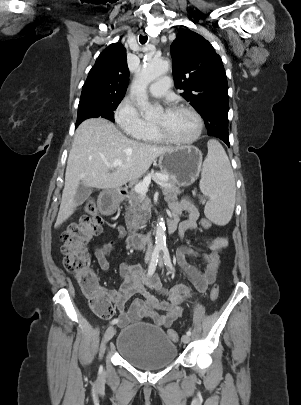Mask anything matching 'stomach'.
<instances>
[{"instance_id": "0dacf381", "label": "stomach", "mask_w": 301, "mask_h": 405, "mask_svg": "<svg viewBox=\"0 0 301 405\" xmlns=\"http://www.w3.org/2000/svg\"><path fill=\"white\" fill-rule=\"evenodd\" d=\"M159 167L174 185L188 187L200 174L202 153L192 145L176 146L160 155Z\"/></svg>"}]
</instances>
